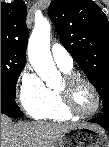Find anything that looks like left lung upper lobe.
<instances>
[{
  "instance_id": "obj_1",
  "label": "left lung upper lobe",
  "mask_w": 109,
  "mask_h": 147,
  "mask_svg": "<svg viewBox=\"0 0 109 147\" xmlns=\"http://www.w3.org/2000/svg\"><path fill=\"white\" fill-rule=\"evenodd\" d=\"M49 16L61 42L109 110V21L92 0H53Z\"/></svg>"
}]
</instances>
